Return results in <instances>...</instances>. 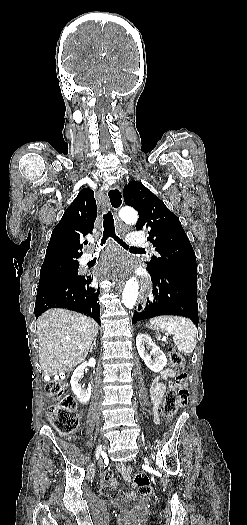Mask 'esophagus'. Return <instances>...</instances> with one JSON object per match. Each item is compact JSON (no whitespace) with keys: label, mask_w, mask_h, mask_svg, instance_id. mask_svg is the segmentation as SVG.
Masks as SVG:
<instances>
[{"label":"esophagus","mask_w":247,"mask_h":525,"mask_svg":"<svg viewBox=\"0 0 247 525\" xmlns=\"http://www.w3.org/2000/svg\"><path fill=\"white\" fill-rule=\"evenodd\" d=\"M107 197L109 200L110 207L112 208V210L117 212L122 207V204H123V195L118 185H113L112 187H110V189L107 191ZM134 270H137V267H134ZM141 279H142L141 273H138L137 282H140V285H143V282H141ZM145 305H146V298H145V293H144V287L141 286L140 292H139V299H138V303L136 306L137 311L139 313L143 311L145 308Z\"/></svg>","instance_id":"34e87169"}]
</instances>
